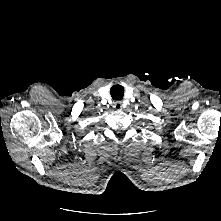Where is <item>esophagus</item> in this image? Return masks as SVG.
Segmentation results:
<instances>
[{"label": "esophagus", "instance_id": "34e87169", "mask_svg": "<svg viewBox=\"0 0 221 221\" xmlns=\"http://www.w3.org/2000/svg\"><path fill=\"white\" fill-rule=\"evenodd\" d=\"M113 107H114L116 110H122L123 105H122V103H121L120 101H116V102H114Z\"/></svg>", "mask_w": 221, "mask_h": 221}]
</instances>
